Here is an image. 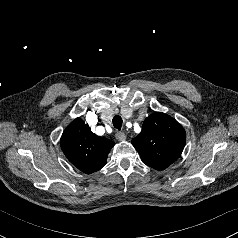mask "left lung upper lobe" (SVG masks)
<instances>
[{
	"label": "left lung upper lobe",
	"mask_w": 238,
	"mask_h": 238,
	"mask_svg": "<svg viewBox=\"0 0 238 238\" xmlns=\"http://www.w3.org/2000/svg\"><path fill=\"white\" fill-rule=\"evenodd\" d=\"M185 142V130L174 118L154 112L145 119L142 131L132 140V145L143 163L164 170L180 157Z\"/></svg>",
	"instance_id": "obj_1"
}]
</instances>
